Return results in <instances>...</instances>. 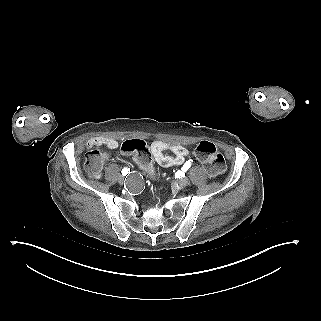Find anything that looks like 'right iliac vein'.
<instances>
[{
    "mask_svg": "<svg viewBox=\"0 0 321 321\" xmlns=\"http://www.w3.org/2000/svg\"><path fill=\"white\" fill-rule=\"evenodd\" d=\"M123 182H124V177L122 175H119L118 176V183L123 184Z\"/></svg>",
    "mask_w": 321,
    "mask_h": 321,
    "instance_id": "obj_1",
    "label": "right iliac vein"
}]
</instances>
